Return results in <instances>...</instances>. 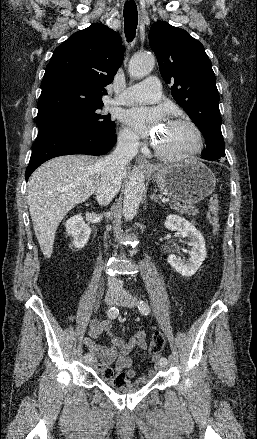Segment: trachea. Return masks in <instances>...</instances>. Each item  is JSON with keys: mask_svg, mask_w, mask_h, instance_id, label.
Returning a JSON list of instances; mask_svg holds the SVG:
<instances>
[{"mask_svg": "<svg viewBox=\"0 0 257 439\" xmlns=\"http://www.w3.org/2000/svg\"><path fill=\"white\" fill-rule=\"evenodd\" d=\"M124 26L125 35L128 42H131L135 38L136 28L138 23L137 6L134 1H127L124 5Z\"/></svg>", "mask_w": 257, "mask_h": 439, "instance_id": "1", "label": "trachea"}]
</instances>
